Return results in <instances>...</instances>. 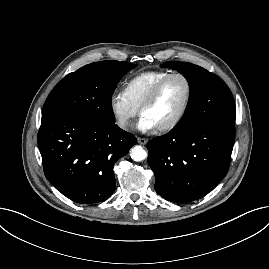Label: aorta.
Returning <instances> with one entry per match:
<instances>
[{
    "label": "aorta",
    "mask_w": 269,
    "mask_h": 269,
    "mask_svg": "<svg viewBox=\"0 0 269 269\" xmlns=\"http://www.w3.org/2000/svg\"><path fill=\"white\" fill-rule=\"evenodd\" d=\"M130 156L134 161H143L147 158L148 154L142 146L136 145L132 147Z\"/></svg>",
    "instance_id": "1"
}]
</instances>
